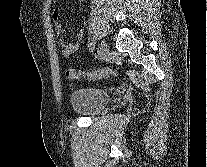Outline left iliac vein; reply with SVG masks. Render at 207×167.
<instances>
[{
  "mask_svg": "<svg viewBox=\"0 0 207 167\" xmlns=\"http://www.w3.org/2000/svg\"><path fill=\"white\" fill-rule=\"evenodd\" d=\"M109 52V48L106 44L105 41H102L99 46H98V50H97V56L100 60H103L107 57Z\"/></svg>",
  "mask_w": 207,
  "mask_h": 167,
  "instance_id": "1",
  "label": "left iliac vein"
}]
</instances>
